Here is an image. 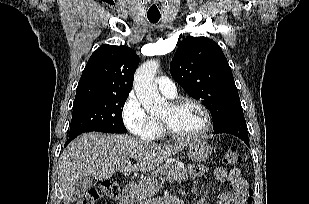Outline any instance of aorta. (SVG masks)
I'll return each instance as SVG.
<instances>
[{"mask_svg":"<svg viewBox=\"0 0 309 204\" xmlns=\"http://www.w3.org/2000/svg\"><path fill=\"white\" fill-rule=\"evenodd\" d=\"M159 68L157 60L143 63L136 71L134 77V89L136 96L147 112L156 113L161 111L166 101L158 92L154 84V78Z\"/></svg>","mask_w":309,"mask_h":204,"instance_id":"aorta-1","label":"aorta"}]
</instances>
